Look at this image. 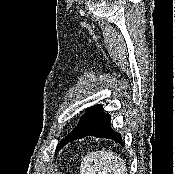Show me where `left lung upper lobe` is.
I'll return each instance as SVG.
<instances>
[{
	"label": "left lung upper lobe",
	"instance_id": "obj_1",
	"mask_svg": "<svg viewBox=\"0 0 175 174\" xmlns=\"http://www.w3.org/2000/svg\"><path fill=\"white\" fill-rule=\"evenodd\" d=\"M62 144H63V140L57 145L56 151L60 150L63 147Z\"/></svg>",
	"mask_w": 175,
	"mask_h": 174
}]
</instances>
